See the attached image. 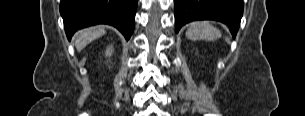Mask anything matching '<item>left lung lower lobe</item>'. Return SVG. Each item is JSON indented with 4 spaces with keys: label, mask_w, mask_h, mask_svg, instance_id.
Instances as JSON below:
<instances>
[{
    "label": "left lung lower lobe",
    "mask_w": 305,
    "mask_h": 116,
    "mask_svg": "<svg viewBox=\"0 0 305 116\" xmlns=\"http://www.w3.org/2000/svg\"><path fill=\"white\" fill-rule=\"evenodd\" d=\"M176 32L194 20H216L230 27L233 37L240 26L243 0H174Z\"/></svg>",
    "instance_id": "1"
}]
</instances>
